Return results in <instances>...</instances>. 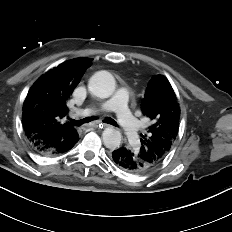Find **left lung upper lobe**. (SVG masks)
I'll list each match as a JSON object with an SVG mask.
<instances>
[{"label": "left lung upper lobe", "mask_w": 232, "mask_h": 232, "mask_svg": "<svg viewBox=\"0 0 232 232\" xmlns=\"http://www.w3.org/2000/svg\"><path fill=\"white\" fill-rule=\"evenodd\" d=\"M141 108L151 125L141 135L136 153L155 167L169 153L179 131L180 106L165 76L156 75L150 80Z\"/></svg>", "instance_id": "1"}]
</instances>
